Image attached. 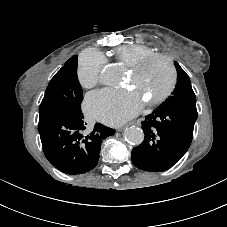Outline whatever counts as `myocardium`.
Instances as JSON below:
<instances>
[{"instance_id": "obj_1", "label": "myocardium", "mask_w": 227, "mask_h": 227, "mask_svg": "<svg viewBox=\"0 0 227 227\" xmlns=\"http://www.w3.org/2000/svg\"><path fill=\"white\" fill-rule=\"evenodd\" d=\"M157 59H163L164 61H166V63L169 66L170 69V73H171V80L169 83V86L167 87V89L157 98L153 99V100H149L148 104L150 106H155L158 105L162 102H164L174 91L175 87H176V83H177V71H176V67L175 64L172 60V58L166 54H161V53H155L149 56H146L142 59H140L139 61H137L136 63H134L133 65L130 66L131 72L133 73H140L142 72L151 62H153L154 60Z\"/></svg>"}]
</instances>
